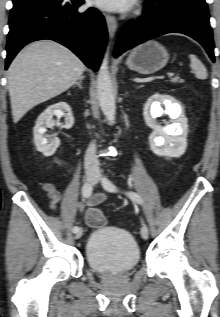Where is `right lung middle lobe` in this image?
<instances>
[{
    "instance_id": "right-lung-middle-lobe-1",
    "label": "right lung middle lobe",
    "mask_w": 220,
    "mask_h": 317,
    "mask_svg": "<svg viewBox=\"0 0 220 317\" xmlns=\"http://www.w3.org/2000/svg\"><path fill=\"white\" fill-rule=\"evenodd\" d=\"M12 1H13V4L16 5V4H19L21 2L28 1V0H12Z\"/></svg>"
}]
</instances>
